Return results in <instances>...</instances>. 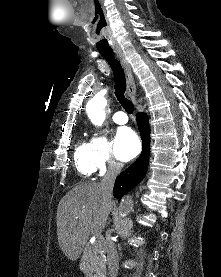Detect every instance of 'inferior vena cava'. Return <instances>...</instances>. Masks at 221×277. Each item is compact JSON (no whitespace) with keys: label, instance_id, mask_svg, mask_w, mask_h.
Wrapping results in <instances>:
<instances>
[{"label":"inferior vena cava","instance_id":"1","mask_svg":"<svg viewBox=\"0 0 221 277\" xmlns=\"http://www.w3.org/2000/svg\"><path fill=\"white\" fill-rule=\"evenodd\" d=\"M121 169H122L121 163L115 162V161L109 162L107 173L105 174V176L100 182L103 195L107 199L111 198L115 180L119 175V173L121 172ZM106 254H107L109 276L116 277L118 273V268H119V258L117 255L115 244L111 239L110 232L107 238Z\"/></svg>","mask_w":221,"mask_h":277}]
</instances>
